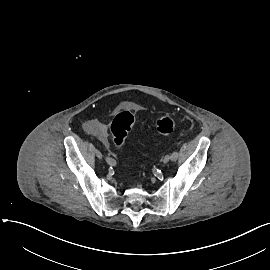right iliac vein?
<instances>
[{
  "mask_svg": "<svg viewBox=\"0 0 270 270\" xmlns=\"http://www.w3.org/2000/svg\"><path fill=\"white\" fill-rule=\"evenodd\" d=\"M95 153H96V156H97L99 159H102L103 155H102V153H101L99 150H96Z\"/></svg>",
  "mask_w": 270,
  "mask_h": 270,
  "instance_id": "obj_1",
  "label": "right iliac vein"
}]
</instances>
